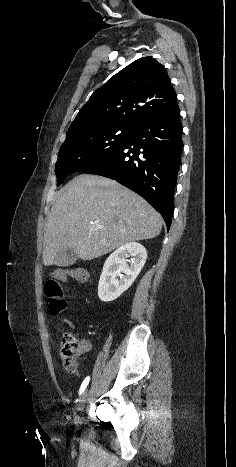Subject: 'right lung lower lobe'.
Instances as JSON below:
<instances>
[{
  "instance_id": "right-lung-lower-lobe-1",
  "label": "right lung lower lobe",
  "mask_w": 236,
  "mask_h": 467,
  "mask_svg": "<svg viewBox=\"0 0 236 467\" xmlns=\"http://www.w3.org/2000/svg\"><path fill=\"white\" fill-rule=\"evenodd\" d=\"M182 128L175 104L136 127L120 148L82 172L108 177L136 192L162 215L169 230L181 165Z\"/></svg>"
}]
</instances>
